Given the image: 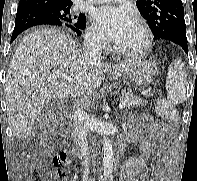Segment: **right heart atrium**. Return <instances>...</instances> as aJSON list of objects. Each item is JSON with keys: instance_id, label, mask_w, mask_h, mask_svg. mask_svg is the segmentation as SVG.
I'll list each match as a JSON object with an SVG mask.
<instances>
[{"instance_id": "d8ad5b80", "label": "right heart atrium", "mask_w": 197, "mask_h": 181, "mask_svg": "<svg viewBox=\"0 0 197 181\" xmlns=\"http://www.w3.org/2000/svg\"><path fill=\"white\" fill-rule=\"evenodd\" d=\"M88 41L96 47H104L107 43L105 36L94 25L90 26L87 30Z\"/></svg>"}]
</instances>
